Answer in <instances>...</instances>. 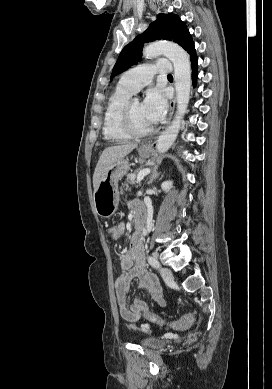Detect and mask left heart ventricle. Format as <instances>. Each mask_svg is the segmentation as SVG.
<instances>
[{"label": "left heart ventricle", "mask_w": 272, "mask_h": 389, "mask_svg": "<svg viewBox=\"0 0 272 389\" xmlns=\"http://www.w3.org/2000/svg\"><path fill=\"white\" fill-rule=\"evenodd\" d=\"M132 118L138 130H146L152 126L143 111L142 103L138 100L132 104Z\"/></svg>", "instance_id": "b2bd125f"}]
</instances>
